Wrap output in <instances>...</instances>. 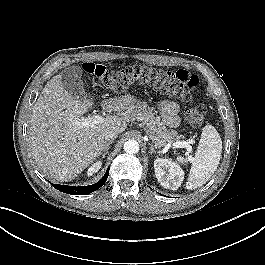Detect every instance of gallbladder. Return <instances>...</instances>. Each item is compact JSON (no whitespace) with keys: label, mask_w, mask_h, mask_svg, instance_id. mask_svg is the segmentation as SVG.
I'll list each match as a JSON object with an SVG mask.
<instances>
[{"label":"gallbladder","mask_w":265,"mask_h":265,"mask_svg":"<svg viewBox=\"0 0 265 265\" xmlns=\"http://www.w3.org/2000/svg\"><path fill=\"white\" fill-rule=\"evenodd\" d=\"M82 70L78 66H72L64 72L62 84L73 97L83 99L86 95L83 81L81 80Z\"/></svg>","instance_id":"1"}]
</instances>
